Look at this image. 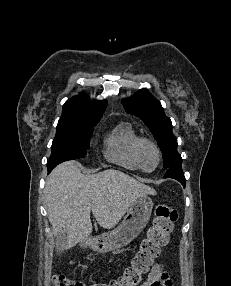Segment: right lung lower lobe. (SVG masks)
<instances>
[{"label": "right lung lower lobe", "instance_id": "obj_1", "mask_svg": "<svg viewBox=\"0 0 231 286\" xmlns=\"http://www.w3.org/2000/svg\"><path fill=\"white\" fill-rule=\"evenodd\" d=\"M54 167H55V165H47L48 173H50Z\"/></svg>", "mask_w": 231, "mask_h": 286}]
</instances>
